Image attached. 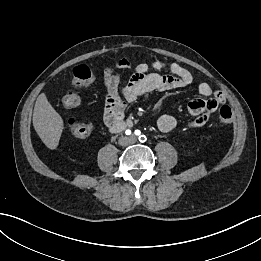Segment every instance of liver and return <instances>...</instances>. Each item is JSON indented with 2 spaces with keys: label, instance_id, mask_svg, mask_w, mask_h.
Returning <instances> with one entry per match:
<instances>
[{
  "label": "liver",
  "instance_id": "1",
  "mask_svg": "<svg viewBox=\"0 0 261 261\" xmlns=\"http://www.w3.org/2000/svg\"><path fill=\"white\" fill-rule=\"evenodd\" d=\"M33 126L43 143L51 150L57 148L64 128L63 119L49 103L45 93L35 102Z\"/></svg>",
  "mask_w": 261,
  "mask_h": 261
}]
</instances>
